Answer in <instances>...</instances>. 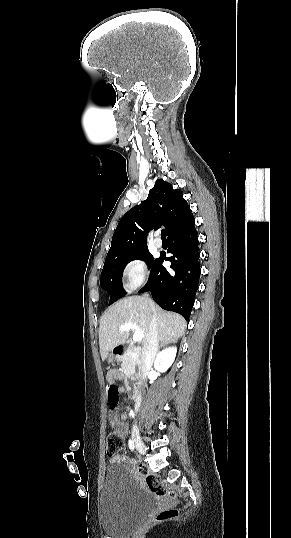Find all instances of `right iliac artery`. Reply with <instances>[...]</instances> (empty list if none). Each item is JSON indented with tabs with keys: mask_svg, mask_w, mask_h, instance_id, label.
<instances>
[{
	"mask_svg": "<svg viewBox=\"0 0 291 538\" xmlns=\"http://www.w3.org/2000/svg\"><path fill=\"white\" fill-rule=\"evenodd\" d=\"M128 446L131 450H134V442L131 439L128 441Z\"/></svg>",
	"mask_w": 291,
	"mask_h": 538,
	"instance_id": "right-iliac-artery-1",
	"label": "right iliac artery"
}]
</instances>
